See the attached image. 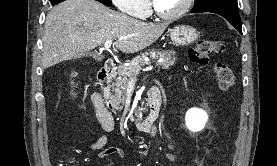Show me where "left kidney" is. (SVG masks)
I'll use <instances>...</instances> for the list:
<instances>
[{"mask_svg": "<svg viewBox=\"0 0 277 166\" xmlns=\"http://www.w3.org/2000/svg\"><path fill=\"white\" fill-rule=\"evenodd\" d=\"M207 121L208 115L206 111L198 108L188 110L185 116L186 126L192 132L203 130Z\"/></svg>", "mask_w": 277, "mask_h": 166, "instance_id": "5707ae66", "label": "left kidney"}]
</instances>
